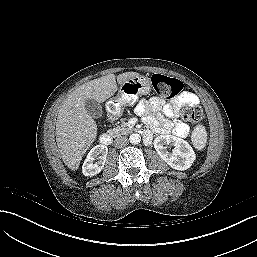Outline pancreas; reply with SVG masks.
Masks as SVG:
<instances>
[{
    "label": "pancreas",
    "mask_w": 257,
    "mask_h": 257,
    "mask_svg": "<svg viewBox=\"0 0 257 257\" xmlns=\"http://www.w3.org/2000/svg\"><path fill=\"white\" fill-rule=\"evenodd\" d=\"M132 128L126 126V124H122L121 126H117L113 129L109 130V133L113 136H120V135H128L131 133Z\"/></svg>",
    "instance_id": "pancreas-1"
}]
</instances>
